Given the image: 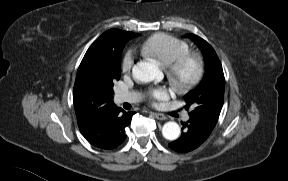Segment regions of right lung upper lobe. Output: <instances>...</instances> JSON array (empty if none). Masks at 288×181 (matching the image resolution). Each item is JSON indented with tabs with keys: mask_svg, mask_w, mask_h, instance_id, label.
Wrapping results in <instances>:
<instances>
[{
	"mask_svg": "<svg viewBox=\"0 0 288 181\" xmlns=\"http://www.w3.org/2000/svg\"><path fill=\"white\" fill-rule=\"evenodd\" d=\"M138 35L119 29L106 31L90 46L78 68L73 91L78 126L96 147L108 149L111 145L115 113L120 109L102 79L106 50L121 38L130 40Z\"/></svg>",
	"mask_w": 288,
	"mask_h": 181,
	"instance_id": "1",
	"label": "right lung upper lobe"
}]
</instances>
